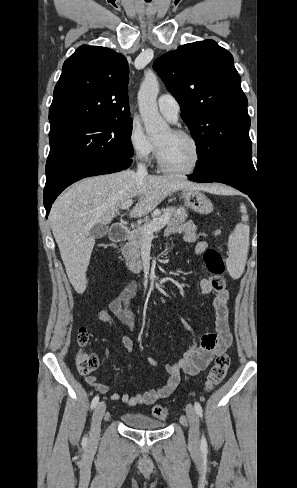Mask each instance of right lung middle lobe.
<instances>
[{
  "instance_id": "1",
  "label": "right lung middle lobe",
  "mask_w": 297,
  "mask_h": 488,
  "mask_svg": "<svg viewBox=\"0 0 297 488\" xmlns=\"http://www.w3.org/2000/svg\"><path fill=\"white\" fill-rule=\"evenodd\" d=\"M131 132L129 118L79 124L49 133L46 185L87 163L131 158Z\"/></svg>"
}]
</instances>
